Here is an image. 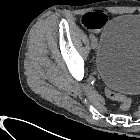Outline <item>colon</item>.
I'll list each match as a JSON object with an SVG mask.
<instances>
[{"label":"colon","mask_w":140,"mask_h":140,"mask_svg":"<svg viewBox=\"0 0 140 140\" xmlns=\"http://www.w3.org/2000/svg\"><path fill=\"white\" fill-rule=\"evenodd\" d=\"M106 94L110 99L118 102L122 110L126 111L130 109L131 100L128 97L111 89H107Z\"/></svg>","instance_id":"obj_1"}]
</instances>
